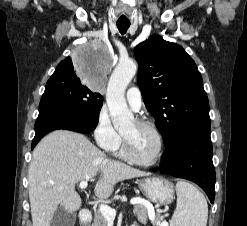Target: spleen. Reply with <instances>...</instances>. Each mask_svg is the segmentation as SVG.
<instances>
[{
    "mask_svg": "<svg viewBox=\"0 0 247 226\" xmlns=\"http://www.w3.org/2000/svg\"><path fill=\"white\" fill-rule=\"evenodd\" d=\"M177 205L170 226H206L208 205L204 195L192 184L178 181Z\"/></svg>",
    "mask_w": 247,
    "mask_h": 226,
    "instance_id": "3e777b00",
    "label": "spleen"
}]
</instances>
